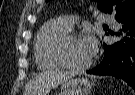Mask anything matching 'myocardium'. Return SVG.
<instances>
[{"label": "myocardium", "mask_w": 135, "mask_h": 95, "mask_svg": "<svg viewBox=\"0 0 135 95\" xmlns=\"http://www.w3.org/2000/svg\"><path fill=\"white\" fill-rule=\"evenodd\" d=\"M74 38H80V34L78 32L69 31L60 39L56 48L57 57L59 61L61 62V64L67 68L76 69V70L85 69L91 65L92 60H88L87 62L82 63V64H75V63L70 62L67 59L66 46Z\"/></svg>", "instance_id": "myocardium-1"}]
</instances>
